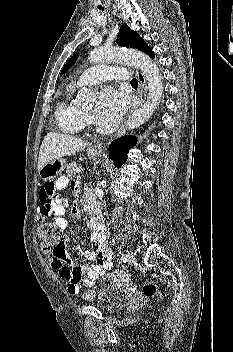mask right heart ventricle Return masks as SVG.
<instances>
[{"mask_svg":"<svg viewBox=\"0 0 233 352\" xmlns=\"http://www.w3.org/2000/svg\"><path fill=\"white\" fill-rule=\"evenodd\" d=\"M75 85L67 86L66 92L56 109V121L59 129L67 134L80 133L86 124L83 110L73 101Z\"/></svg>","mask_w":233,"mask_h":352,"instance_id":"obj_1","label":"right heart ventricle"}]
</instances>
